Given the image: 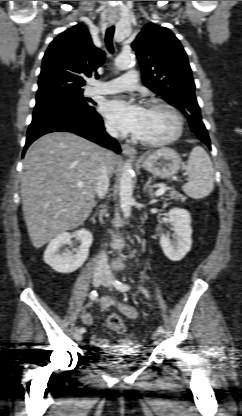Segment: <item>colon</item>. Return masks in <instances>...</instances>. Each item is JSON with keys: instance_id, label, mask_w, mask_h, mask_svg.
<instances>
[{"instance_id": "5ec220e1", "label": "colon", "mask_w": 242, "mask_h": 416, "mask_svg": "<svg viewBox=\"0 0 242 416\" xmlns=\"http://www.w3.org/2000/svg\"><path fill=\"white\" fill-rule=\"evenodd\" d=\"M107 328L117 334H126V326L117 315H110L106 321Z\"/></svg>"}]
</instances>
